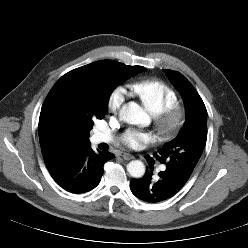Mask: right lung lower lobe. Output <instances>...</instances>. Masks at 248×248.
Returning <instances> with one entry per match:
<instances>
[{
    "mask_svg": "<svg viewBox=\"0 0 248 248\" xmlns=\"http://www.w3.org/2000/svg\"><path fill=\"white\" fill-rule=\"evenodd\" d=\"M114 157L110 152L95 153L88 144L64 156L48 170L59 186L68 192L80 194L99 184L104 164Z\"/></svg>",
    "mask_w": 248,
    "mask_h": 248,
    "instance_id": "98d812e1",
    "label": "right lung lower lobe"
}]
</instances>
